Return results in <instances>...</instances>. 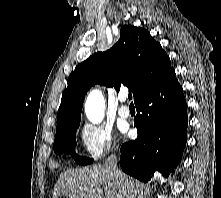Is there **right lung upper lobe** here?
Listing matches in <instances>:
<instances>
[{
	"mask_svg": "<svg viewBox=\"0 0 221 198\" xmlns=\"http://www.w3.org/2000/svg\"><path fill=\"white\" fill-rule=\"evenodd\" d=\"M172 70L169 56L148 31L123 26L111 49L92 55L70 74L57 114L56 134L79 126L85 94L93 85L117 91L121 85L127 86L136 102Z\"/></svg>",
	"mask_w": 221,
	"mask_h": 198,
	"instance_id": "right-lung-upper-lobe-1",
	"label": "right lung upper lobe"
}]
</instances>
